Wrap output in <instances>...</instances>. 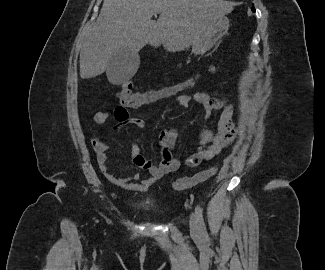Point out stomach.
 <instances>
[{
    "label": "stomach",
    "mask_w": 325,
    "mask_h": 270,
    "mask_svg": "<svg viewBox=\"0 0 325 270\" xmlns=\"http://www.w3.org/2000/svg\"><path fill=\"white\" fill-rule=\"evenodd\" d=\"M229 19L225 16L211 20L201 31L197 40L188 45L194 55H201L210 50L223 36L227 34Z\"/></svg>",
    "instance_id": "1"
}]
</instances>
